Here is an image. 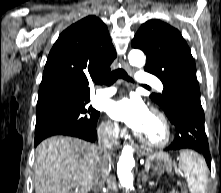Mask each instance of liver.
<instances>
[{
  "label": "liver",
  "mask_w": 221,
  "mask_h": 193,
  "mask_svg": "<svg viewBox=\"0 0 221 193\" xmlns=\"http://www.w3.org/2000/svg\"><path fill=\"white\" fill-rule=\"evenodd\" d=\"M99 148L77 138L41 142L34 165L35 193H88L94 186Z\"/></svg>",
  "instance_id": "1"
}]
</instances>
